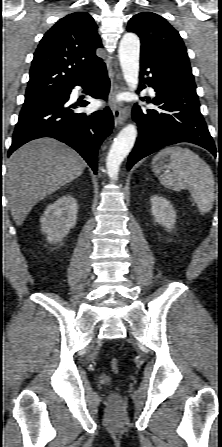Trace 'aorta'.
Here are the masks:
<instances>
[{"label": "aorta", "instance_id": "1", "mask_svg": "<svg viewBox=\"0 0 222 447\" xmlns=\"http://www.w3.org/2000/svg\"><path fill=\"white\" fill-rule=\"evenodd\" d=\"M119 60L124 79L131 91L139 82L140 40L134 33H126L119 46ZM137 129L134 124L124 127L114 139L106 159V169L110 178L117 180L119 168L134 146Z\"/></svg>", "mask_w": 222, "mask_h": 447}]
</instances>
